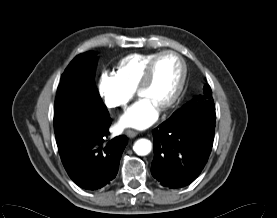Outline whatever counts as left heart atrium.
<instances>
[{
	"mask_svg": "<svg viewBox=\"0 0 277 218\" xmlns=\"http://www.w3.org/2000/svg\"><path fill=\"white\" fill-rule=\"evenodd\" d=\"M159 115V107L149 98L142 96L121 117V127L147 128Z\"/></svg>",
	"mask_w": 277,
	"mask_h": 218,
	"instance_id": "left-heart-atrium-1",
	"label": "left heart atrium"
}]
</instances>
